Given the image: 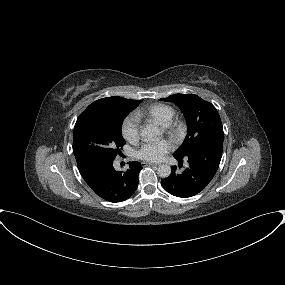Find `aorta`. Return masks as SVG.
Returning <instances> with one entry per match:
<instances>
[{"mask_svg": "<svg viewBox=\"0 0 285 285\" xmlns=\"http://www.w3.org/2000/svg\"><path fill=\"white\" fill-rule=\"evenodd\" d=\"M141 137L145 140L159 139L162 136V132L154 125H146L142 128ZM158 175L162 178H167L171 175V167L167 164H162L158 167Z\"/></svg>", "mask_w": 285, "mask_h": 285, "instance_id": "1", "label": "aorta"}]
</instances>
